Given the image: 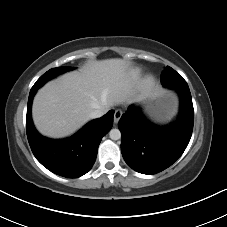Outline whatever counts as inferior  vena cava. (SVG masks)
I'll return each instance as SVG.
<instances>
[{"instance_id":"inferior-vena-cava-1","label":"inferior vena cava","mask_w":227,"mask_h":227,"mask_svg":"<svg viewBox=\"0 0 227 227\" xmlns=\"http://www.w3.org/2000/svg\"><path fill=\"white\" fill-rule=\"evenodd\" d=\"M108 111V108L96 109L92 111L89 115L90 118L95 119L103 116Z\"/></svg>"}]
</instances>
